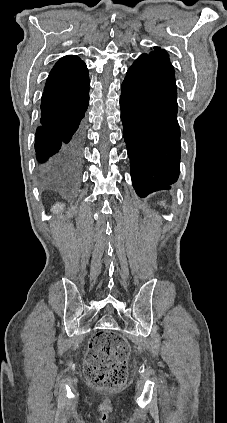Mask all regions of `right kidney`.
<instances>
[{
	"label": "right kidney",
	"instance_id": "obj_1",
	"mask_svg": "<svg viewBox=\"0 0 227 423\" xmlns=\"http://www.w3.org/2000/svg\"><path fill=\"white\" fill-rule=\"evenodd\" d=\"M63 208H64L63 204H60V202H56V204L52 206L51 211H53V213H58V211H62Z\"/></svg>",
	"mask_w": 227,
	"mask_h": 423
}]
</instances>
